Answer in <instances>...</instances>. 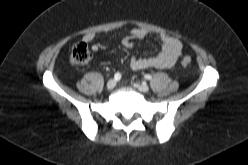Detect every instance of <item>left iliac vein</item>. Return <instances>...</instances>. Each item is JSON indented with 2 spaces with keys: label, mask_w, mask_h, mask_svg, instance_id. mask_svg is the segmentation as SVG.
I'll list each match as a JSON object with an SVG mask.
<instances>
[{
  "label": "left iliac vein",
  "mask_w": 248,
  "mask_h": 165,
  "mask_svg": "<svg viewBox=\"0 0 248 165\" xmlns=\"http://www.w3.org/2000/svg\"><path fill=\"white\" fill-rule=\"evenodd\" d=\"M133 86L141 92L147 93L149 91V86L144 83L136 82Z\"/></svg>",
  "instance_id": "left-iliac-vein-1"
}]
</instances>
